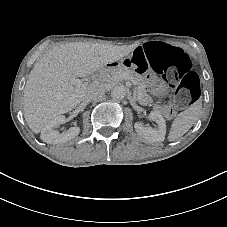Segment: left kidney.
<instances>
[{"instance_id": "5707ae66", "label": "left kidney", "mask_w": 227, "mask_h": 227, "mask_svg": "<svg viewBox=\"0 0 227 227\" xmlns=\"http://www.w3.org/2000/svg\"><path fill=\"white\" fill-rule=\"evenodd\" d=\"M149 118L156 122L157 127H145L142 123L136 122L134 128L136 132L151 142H162L166 135V122L163 116L157 111H152L149 114Z\"/></svg>"}]
</instances>
